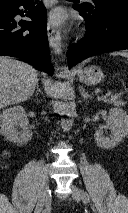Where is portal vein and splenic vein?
<instances>
[{"label": "portal vein and splenic vein", "mask_w": 128, "mask_h": 213, "mask_svg": "<svg viewBox=\"0 0 128 213\" xmlns=\"http://www.w3.org/2000/svg\"><path fill=\"white\" fill-rule=\"evenodd\" d=\"M120 96V93L119 94H117L116 96H114V97H119Z\"/></svg>", "instance_id": "18ae733b"}]
</instances>
